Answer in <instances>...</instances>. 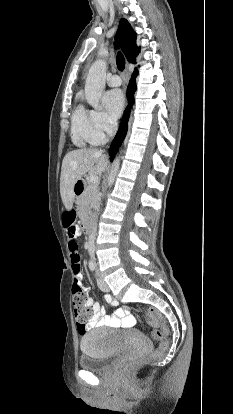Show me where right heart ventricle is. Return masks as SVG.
<instances>
[{
    "mask_svg": "<svg viewBox=\"0 0 233 414\" xmlns=\"http://www.w3.org/2000/svg\"><path fill=\"white\" fill-rule=\"evenodd\" d=\"M71 137L76 146L86 147L99 144L96 138L91 111L77 105L71 116Z\"/></svg>",
    "mask_w": 233,
    "mask_h": 414,
    "instance_id": "e07e8e85",
    "label": "right heart ventricle"
}]
</instances>
